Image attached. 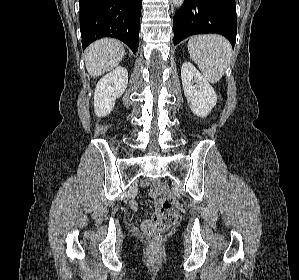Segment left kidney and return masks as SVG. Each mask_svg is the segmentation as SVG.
Masks as SVG:
<instances>
[{"label":"left kidney","instance_id":"5707ae66","mask_svg":"<svg viewBox=\"0 0 299 280\" xmlns=\"http://www.w3.org/2000/svg\"><path fill=\"white\" fill-rule=\"evenodd\" d=\"M181 79L192 112L199 117H206L217 102L214 89L190 62L182 65Z\"/></svg>","mask_w":299,"mask_h":280}]
</instances>
